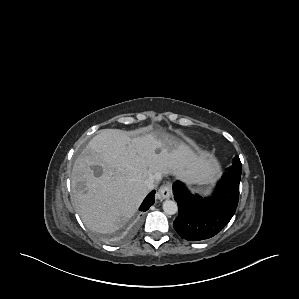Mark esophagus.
<instances>
[{
    "label": "esophagus",
    "instance_id": "1",
    "mask_svg": "<svg viewBox=\"0 0 299 299\" xmlns=\"http://www.w3.org/2000/svg\"><path fill=\"white\" fill-rule=\"evenodd\" d=\"M171 194H172L171 185L167 183L160 187V189L156 194V199L162 201L164 199L170 198Z\"/></svg>",
    "mask_w": 299,
    "mask_h": 299
}]
</instances>
